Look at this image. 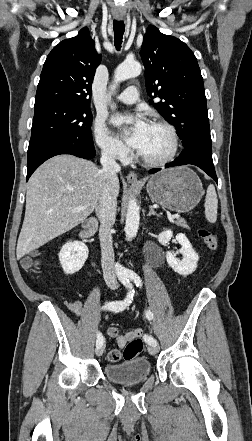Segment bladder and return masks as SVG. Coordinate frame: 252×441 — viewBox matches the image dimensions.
<instances>
[{
    "label": "bladder",
    "instance_id": "31cf9c89",
    "mask_svg": "<svg viewBox=\"0 0 252 441\" xmlns=\"http://www.w3.org/2000/svg\"><path fill=\"white\" fill-rule=\"evenodd\" d=\"M151 372L150 361L145 357L126 359L121 363L105 365V376L119 384L137 383L145 380Z\"/></svg>",
    "mask_w": 252,
    "mask_h": 441
}]
</instances>
